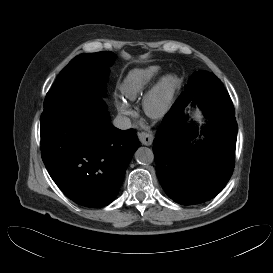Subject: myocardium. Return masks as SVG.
<instances>
[{"label":"myocardium","instance_id":"f54148a6","mask_svg":"<svg viewBox=\"0 0 273 273\" xmlns=\"http://www.w3.org/2000/svg\"><path fill=\"white\" fill-rule=\"evenodd\" d=\"M177 85L173 75L161 77L143 99L145 113L152 118H160L169 110Z\"/></svg>","mask_w":273,"mask_h":273}]
</instances>
